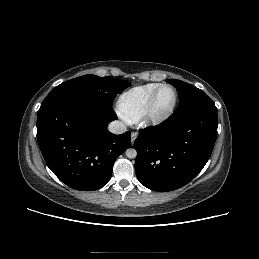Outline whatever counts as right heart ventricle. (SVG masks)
I'll list each match as a JSON object with an SVG mask.
<instances>
[{
    "instance_id": "obj_1",
    "label": "right heart ventricle",
    "mask_w": 259,
    "mask_h": 259,
    "mask_svg": "<svg viewBox=\"0 0 259 259\" xmlns=\"http://www.w3.org/2000/svg\"><path fill=\"white\" fill-rule=\"evenodd\" d=\"M160 85L159 83H148L133 87L121 94L117 102L120 115L129 122L140 119L151 96Z\"/></svg>"
}]
</instances>
